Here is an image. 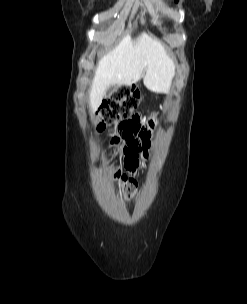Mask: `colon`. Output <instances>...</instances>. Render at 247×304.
<instances>
[{
	"instance_id": "colon-1",
	"label": "colon",
	"mask_w": 247,
	"mask_h": 304,
	"mask_svg": "<svg viewBox=\"0 0 247 304\" xmlns=\"http://www.w3.org/2000/svg\"><path fill=\"white\" fill-rule=\"evenodd\" d=\"M138 103L139 94L136 91L124 85L118 87L113 93L111 99L107 101L97 113L95 117L96 130L103 131L106 129L107 126L115 124L120 120H123L122 122H124L125 120H155V118L127 119V112H135ZM113 178L120 190L127 197H133L135 195L136 184L132 177L118 170H114Z\"/></svg>"
}]
</instances>
